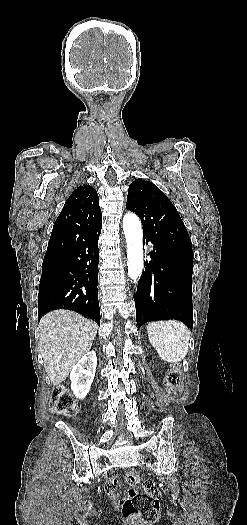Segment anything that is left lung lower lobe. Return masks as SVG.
<instances>
[{
	"label": "left lung lower lobe",
	"mask_w": 247,
	"mask_h": 525,
	"mask_svg": "<svg viewBox=\"0 0 247 525\" xmlns=\"http://www.w3.org/2000/svg\"><path fill=\"white\" fill-rule=\"evenodd\" d=\"M144 244L151 242L150 263L138 282L134 295L136 321L142 324L175 319L193 327V262L174 251L165 241L143 233Z\"/></svg>",
	"instance_id": "obj_1"
}]
</instances>
